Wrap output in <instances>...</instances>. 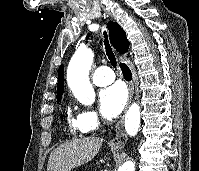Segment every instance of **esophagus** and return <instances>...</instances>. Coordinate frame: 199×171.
Masks as SVG:
<instances>
[{
	"mask_svg": "<svg viewBox=\"0 0 199 171\" xmlns=\"http://www.w3.org/2000/svg\"><path fill=\"white\" fill-rule=\"evenodd\" d=\"M133 93H134V84H133L132 81H129L128 82V101H127V105H126V108H125V112H126L128 106H129V104L132 101ZM115 132H116V135L111 140L110 145L113 146V147H116V148L124 147L127 140H128V136H127V134L124 130V115L115 125Z\"/></svg>",
	"mask_w": 199,
	"mask_h": 171,
	"instance_id": "esophagus-1",
	"label": "esophagus"
}]
</instances>
